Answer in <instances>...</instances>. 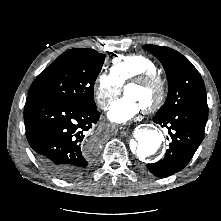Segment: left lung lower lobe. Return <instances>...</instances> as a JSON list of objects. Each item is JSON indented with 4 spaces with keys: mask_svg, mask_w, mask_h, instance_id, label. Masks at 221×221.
<instances>
[{
    "mask_svg": "<svg viewBox=\"0 0 221 221\" xmlns=\"http://www.w3.org/2000/svg\"><path fill=\"white\" fill-rule=\"evenodd\" d=\"M208 119V111L189 107L153 121L169 130L171 143L162 160L147 165V169L158 177H167L182 170L199 147Z\"/></svg>",
    "mask_w": 221,
    "mask_h": 221,
    "instance_id": "1",
    "label": "left lung lower lobe"
}]
</instances>
